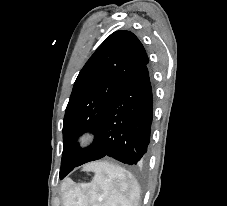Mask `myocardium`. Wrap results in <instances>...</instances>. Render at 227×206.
<instances>
[{"mask_svg": "<svg viewBox=\"0 0 227 206\" xmlns=\"http://www.w3.org/2000/svg\"><path fill=\"white\" fill-rule=\"evenodd\" d=\"M96 139V133L93 130H85L76 138V144L80 148H87L91 146Z\"/></svg>", "mask_w": 227, "mask_h": 206, "instance_id": "obj_1", "label": "myocardium"}]
</instances>
